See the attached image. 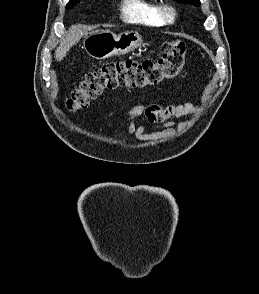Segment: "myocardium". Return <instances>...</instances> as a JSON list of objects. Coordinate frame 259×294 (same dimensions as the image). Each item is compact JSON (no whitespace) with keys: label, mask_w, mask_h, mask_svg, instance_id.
I'll return each mask as SVG.
<instances>
[{"label":"myocardium","mask_w":259,"mask_h":294,"mask_svg":"<svg viewBox=\"0 0 259 294\" xmlns=\"http://www.w3.org/2000/svg\"><path fill=\"white\" fill-rule=\"evenodd\" d=\"M156 12L162 23L172 24L176 20V12L173 7L168 4L157 6Z\"/></svg>","instance_id":"obj_1"}]
</instances>
